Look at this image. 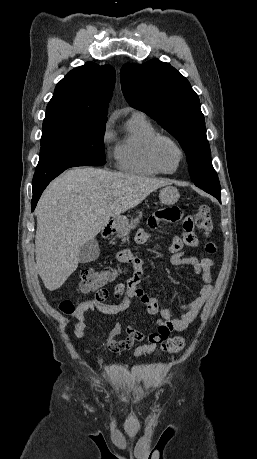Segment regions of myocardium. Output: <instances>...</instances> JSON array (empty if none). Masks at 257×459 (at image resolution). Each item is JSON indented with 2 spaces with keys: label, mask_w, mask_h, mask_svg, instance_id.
I'll use <instances>...</instances> for the list:
<instances>
[{
  "label": "myocardium",
  "mask_w": 257,
  "mask_h": 459,
  "mask_svg": "<svg viewBox=\"0 0 257 459\" xmlns=\"http://www.w3.org/2000/svg\"><path fill=\"white\" fill-rule=\"evenodd\" d=\"M163 140H167L169 142H171L178 150L179 152V161H178V164L176 166L175 169L173 170H167L165 169L162 164L160 163L158 157H157V147H158V144L163 141ZM148 155H149V158H150V161L152 162V164L161 172V173H164V174H173L175 172H177L179 170V168L181 167L183 161H184V158H185V152H184V149L182 148V146L180 145V143L175 139L173 138L172 136L170 135H167V134H156L150 141L149 143V146H148Z\"/></svg>",
  "instance_id": "1"
}]
</instances>
